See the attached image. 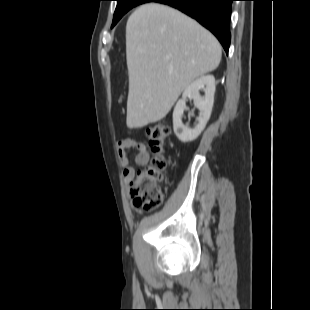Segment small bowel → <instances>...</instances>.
Masks as SVG:
<instances>
[{
	"mask_svg": "<svg viewBox=\"0 0 310 310\" xmlns=\"http://www.w3.org/2000/svg\"><path fill=\"white\" fill-rule=\"evenodd\" d=\"M118 156L120 160L121 166L124 168V178L126 182H130L132 177L135 174V169L133 166L130 165V160L128 157V152L130 149L136 150V156H135V164L137 166H144L149 161V153L147 151L146 146L137 141L134 138L126 137L123 139H120L118 141ZM133 209L136 212H140V209L136 206H133Z\"/></svg>",
	"mask_w": 310,
	"mask_h": 310,
	"instance_id": "c3829d8e",
	"label": "small bowel"
}]
</instances>
